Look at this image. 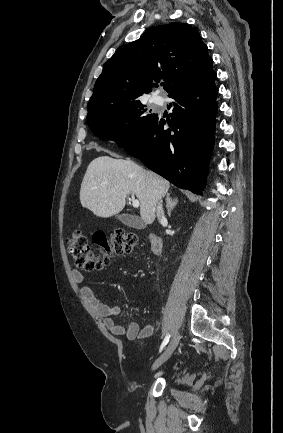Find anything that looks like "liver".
<instances>
[{
    "label": "liver",
    "mask_w": 283,
    "mask_h": 433,
    "mask_svg": "<svg viewBox=\"0 0 283 433\" xmlns=\"http://www.w3.org/2000/svg\"><path fill=\"white\" fill-rule=\"evenodd\" d=\"M169 186L168 180L145 170L130 158L98 156L88 164L84 174L80 202L96 217H112L124 208L126 196L132 192L139 198L142 221L152 225L157 202L165 196Z\"/></svg>",
    "instance_id": "6515ba94"
}]
</instances>
